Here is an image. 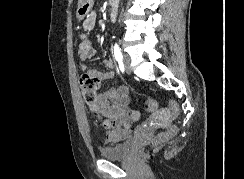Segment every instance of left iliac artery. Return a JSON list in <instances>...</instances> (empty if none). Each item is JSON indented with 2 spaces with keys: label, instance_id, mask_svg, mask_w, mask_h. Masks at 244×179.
Listing matches in <instances>:
<instances>
[{
  "label": "left iliac artery",
  "instance_id": "left-iliac-artery-1",
  "mask_svg": "<svg viewBox=\"0 0 244 179\" xmlns=\"http://www.w3.org/2000/svg\"><path fill=\"white\" fill-rule=\"evenodd\" d=\"M114 57L115 59L120 63L123 59L122 53H121V49L119 48V46L117 44L114 45ZM121 67H124L123 64L121 65Z\"/></svg>",
  "mask_w": 244,
  "mask_h": 179
}]
</instances>
